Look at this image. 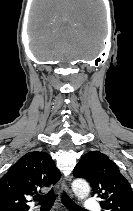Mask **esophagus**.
Returning <instances> with one entry per match:
<instances>
[{"instance_id":"1","label":"esophagus","mask_w":133,"mask_h":211,"mask_svg":"<svg viewBox=\"0 0 133 211\" xmlns=\"http://www.w3.org/2000/svg\"><path fill=\"white\" fill-rule=\"evenodd\" d=\"M62 190L65 194H67L68 196L72 197V192L69 189L68 185L66 184L65 180L62 181Z\"/></svg>"}]
</instances>
